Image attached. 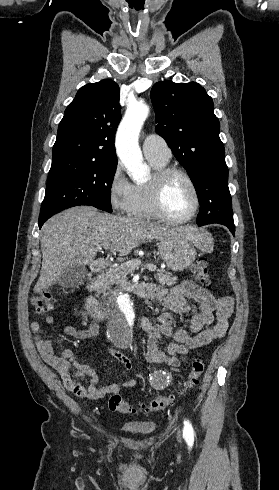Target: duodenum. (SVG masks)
Masks as SVG:
<instances>
[{
  "mask_svg": "<svg viewBox=\"0 0 279 490\" xmlns=\"http://www.w3.org/2000/svg\"><path fill=\"white\" fill-rule=\"evenodd\" d=\"M105 267V263L102 260H95L91 263V270L95 273L101 272ZM118 292H132L141 297L148 296V286L145 283L124 282L116 291ZM86 310L89 315L95 319L105 318L110 311V303L108 298L98 300L93 296H89L86 299Z\"/></svg>",
  "mask_w": 279,
  "mask_h": 490,
  "instance_id": "410a0bca",
  "label": "duodenum"
}]
</instances>
